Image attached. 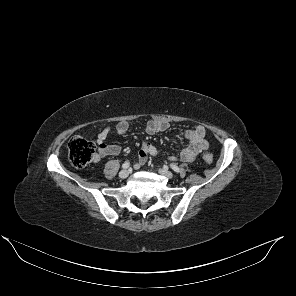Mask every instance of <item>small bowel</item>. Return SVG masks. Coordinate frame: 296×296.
Returning a JSON list of instances; mask_svg holds the SVG:
<instances>
[{
    "instance_id": "obj_1",
    "label": "small bowel",
    "mask_w": 296,
    "mask_h": 296,
    "mask_svg": "<svg viewBox=\"0 0 296 296\" xmlns=\"http://www.w3.org/2000/svg\"><path fill=\"white\" fill-rule=\"evenodd\" d=\"M129 123L127 121L119 122L114 129L106 127L97 136V144L99 154L101 157L115 156L121 151L120 146L114 144H107L108 136L115 132L119 135H125L129 132ZM169 128V123L163 120L150 119L146 123V132L153 135L158 132L165 131ZM184 137L189 141V145L183 148L178 155L169 156L171 161L190 162L193 161L200 152L209 148V142L206 139V130L203 126L198 125L191 130L184 132ZM158 151L151 142H144L141 146L139 155L134 162V168L138 169L145 165L148 156L155 157Z\"/></svg>"
}]
</instances>
